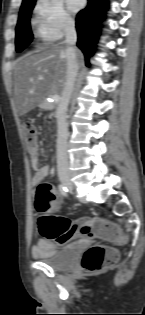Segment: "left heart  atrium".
<instances>
[{"label": "left heart atrium", "instance_id": "39dd6f15", "mask_svg": "<svg viewBox=\"0 0 145 315\" xmlns=\"http://www.w3.org/2000/svg\"><path fill=\"white\" fill-rule=\"evenodd\" d=\"M67 5L71 11L76 12L82 8L84 0H67Z\"/></svg>", "mask_w": 145, "mask_h": 315}]
</instances>
